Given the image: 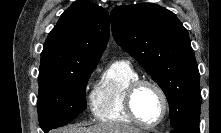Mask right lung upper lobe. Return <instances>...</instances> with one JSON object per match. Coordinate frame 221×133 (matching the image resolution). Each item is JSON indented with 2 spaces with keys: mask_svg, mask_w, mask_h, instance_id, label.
<instances>
[{
  "mask_svg": "<svg viewBox=\"0 0 221 133\" xmlns=\"http://www.w3.org/2000/svg\"><path fill=\"white\" fill-rule=\"evenodd\" d=\"M108 38V12L92 2L77 0L49 33L41 53L40 71L97 63Z\"/></svg>",
  "mask_w": 221,
  "mask_h": 133,
  "instance_id": "1",
  "label": "right lung upper lobe"
}]
</instances>
